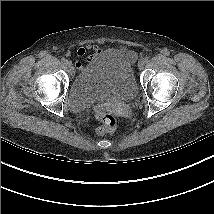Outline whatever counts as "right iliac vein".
<instances>
[{"label":"right iliac vein","instance_id":"right-iliac-vein-1","mask_svg":"<svg viewBox=\"0 0 214 214\" xmlns=\"http://www.w3.org/2000/svg\"><path fill=\"white\" fill-rule=\"evenodd\" d=\"M66 66L69 68L70 71L72 70V63H71V61H67L66 62Z\"/></svg>","mask_w":214,"mask_h":214}]
</instances>
